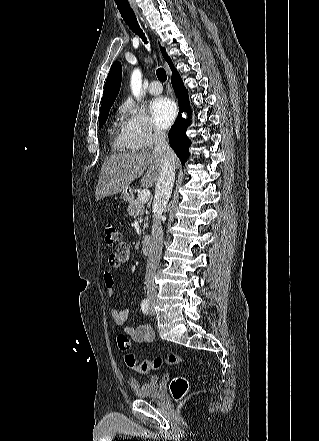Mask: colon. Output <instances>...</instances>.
Masks as SVG:
<instances>
[{
    "label": "colon",
    "mask_w": 319,
    "mask_h": 441,
    "mask_svg": "<svg viewBox=\"0 0 319 441\" xmlns=\"http://www.w3.org/2000/svg\"><path fill=\"white\" fill-rule=\"evenodd\" d=\"M105 242L108 246L120 243L121 235L115 225L106 224L104 228ZM117 346L124 353V361L128 368L139 373H148L157 370L163 365H175L186 362V359L177 354L155 357L139 361L134 354L129 352L130 340L124 334L117 336ZM188 381L183 377H175L170 383V392L176 400L182 399L188 392Z\"/></svg>",
    "instance_id": "colon-1"
}]
</instances>
